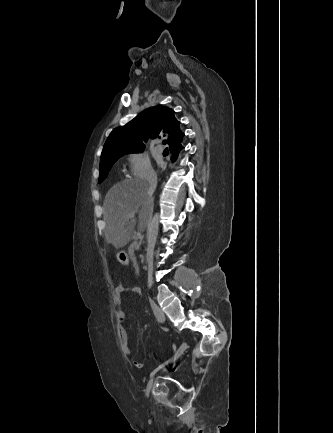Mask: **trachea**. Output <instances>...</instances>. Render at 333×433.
Listing matches in <instances>:
<instances>
[{
	"label": "trachea",
	"mask_w": 333,
	"mask_h": 433,
	"mask_svg": "<svg viewBox=\"0 0 333 433\" xmlns=\"http://www.w3.org/2000/svg\"><path fill=\"white\" fill-rule=\"evenodd\" d=\"M163 144H164V145H166V144H167V141H166V140H164V141H163Z\"/></svg>",
	"instance_id": "obj_1"
}]
</instances>
